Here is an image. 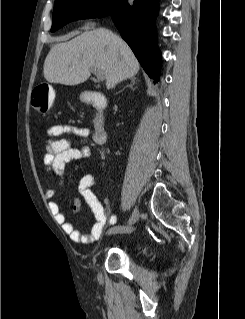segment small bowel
Listing matches in <instances>:
<instances>
[{"label":"small bowel","instance_id":"c3829d8e","mask_svg":"<svg viewBox=\"0 0 245 319\" xmlns=\"http://www.w3.org/2000/svg\"><path fill=\"white\" fill-rule=\"evenodd\" d=\"M62 135H74L78 137L82 146L80 148L72 147L67 139L60 138ZM90 137L91 131L85 127L74 125H55L50 127L47 130L46 153L43 159L47 170L53 172L62 182L66 165L69 162L89 158L90 149L84 143ZM97 181L98 178L94 174L83 175L77 181L78 190L87 201L95 217V223L88 234L82 233L76 228L74 223L67 220L66 215L61 211L57 202L51 201L49 203L50 210L56 220L75 243L91 244L99 240L108 226L116 222V216L110 213L109 202L106 201L105 205L101 204L91 191V187ZM53 195L54 191L52 189L45 188L44 196L47 199H51ZM73 211L77 214L82 213L81 204L77 198L73 200Z\"/></svg>","mask_w":245,"mask_h":319}]
</instances>
